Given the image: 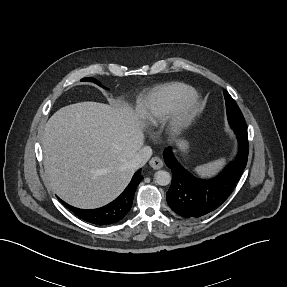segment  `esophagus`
<instances>
[{"instance_id":"1","label":"esophagus","mask_w":287,"mask_h":287,"mask_svg":"<svg viewBox=\"0 0 287 287\" xmlns=\"http://www.w3.org/2000/svg\"><path fill=\"white\" fill-rule=\"evenodd\" d=\"M149 165L153 169L158 170L163 167V161L161 160L160 157L155 156L149 161Z\"/></svg>"}]
</instances>
